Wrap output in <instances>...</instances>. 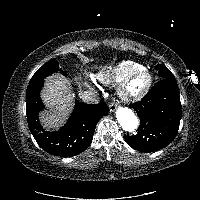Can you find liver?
Here are the masks:
<instances>
[{
	"label": "liver",
	"instance_id": "liver-1",
	"mask_svg": "<svg viewBox=\"0 0 200 200\" xmlns=\"http://www.w3.org/2000/svg\"><path fill=\"white\" fill-rule=\"evenodd\" d=\"M41 98L45 105L53 110L50 113L43 112L40 115L41 122L49 129L58 128L66 120L73 104V94L68 80L60 74L48 77Z\"/></svg>",
	"mask_w": 200,
	"mask_h": 200
}]
</instances>
